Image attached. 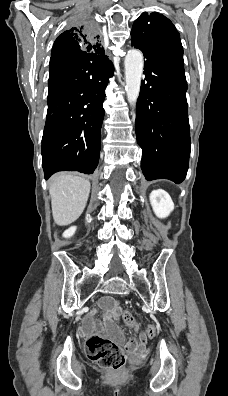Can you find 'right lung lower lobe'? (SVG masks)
Wrapping results in <instances>:
<instances>
[{
    "label": "right lung lower lobe",
    "instance_id": "98d812e1",
    "mask_svg": "<svg viewBox=\"0 0 228 396\" xmlns=\"http://www.w3.org/2000/svg\"><path fill=\"white\" fill-rule=\"evenodd\" d=\"M48 111L42 137L45 179L58 171L92 174L100 155L103 102L114 66L105 56L50 59Z\"/></svg>",
    "mask_w": 228,
    "mask_h": 396
}]
</instances>
